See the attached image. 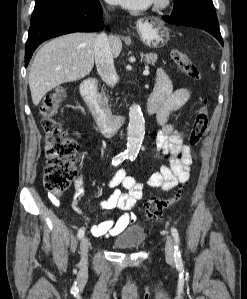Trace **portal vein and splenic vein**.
Segmentation results:
<instances>
[{
	"label": "portal vein and splenic vein",
	"instance_id": "1",
	"mask_svg": "<svg viewBox=\"0 0 247 299\" xmlns=\"http://www.w3.org/2000/svg\"><path fill=\"white\" fill-rule=\"evenodd\" d=\"M143 74H144V75H148V74H149V69H148V67H145V70L143 71Z\"/></svg>",
	"mask_w": 247,
	"mask_h": 299
}]
</instances>
